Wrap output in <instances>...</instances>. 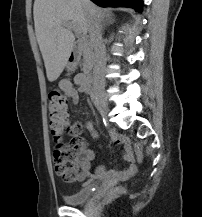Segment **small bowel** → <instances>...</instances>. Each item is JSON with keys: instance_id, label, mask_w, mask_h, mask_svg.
<instances>
[{"instance_id": "c3829d8e", "label": "small bowel", "mask_w": 202, "mask_h": 217, "mask_svg": "<svg viewBox=\"0 0 202 217\" xmlns=\"http://www.w3.org/2000/svg\"><path fill=\"white\" fill-rule=\"evenodd\" d=\"M82 76L81 74L77 75L74 78L75 84L78 85L76 89L72 82L69 80H61L59 82V88L71 99L73 104H77L79 101V93L84 92V88L82 86ZM86 128L90 131L91 135L94 138L98 137V134L94 130L93 124L91 122L86 123ZM82 130V125L78 122L72 123L69 126V131L71 134L78 135ZM113 144L115 145H124V154L123 160L127 163V166L121 170H107L104 166H97L95 169V173L98 176L110 177L118 180H126L133 177L137 173V164L136 161H140L142 158L141 150L139 148L136 149V155L132 151L131 143L128 137L126 136H118L112 135L111 137ZM82 177L87 178L91 175V165L94 159V153L90 149L84 150L82 156Z\"/></svg>"}]
</instances>
